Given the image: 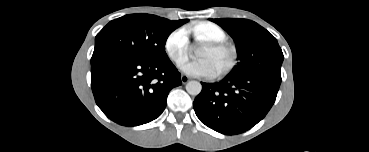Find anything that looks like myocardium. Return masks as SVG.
Returning a JSON list of instances; mask_svg holds the SVG:
<instances>
[{
	"label": "myocardium",
	"mask_w": 369,
	"mask_h": 152,
	"mask_svg": "<svg viewBox=\"0 0 369 152\" xmlns=\"http://www.w3.org/2000/svg\"><path fill=\"white\" fill-rule=\"evenodd\" d=\"M206 46L214 51H226L229 53V61L225 67L219 70L215 76L222 77L229 74L237 64V50L236 48L226 41H211L207 42Z\"/></svg>",
	"instance_id": "myocardium-1"
}]
</instances>
